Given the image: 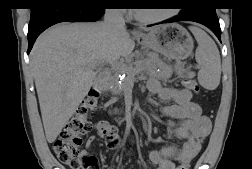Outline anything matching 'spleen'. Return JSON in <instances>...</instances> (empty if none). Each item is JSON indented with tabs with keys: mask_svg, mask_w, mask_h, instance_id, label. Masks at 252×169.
Here are the masks:
<instances>
[{
	"mask_svg": "<svg viewBox=\"0 0 252 169\" xmlns=\"http://www.w3.org/2000/svg\"><path fill=\"white\" fill-rule=\"evenodd\" d=\"M198 47L195 59L200 70L198 72L199 84L207 90H215L220 84L221 59L219 50L213 39L198 27H190Z\"/></svg>",
	"mask_w": 252,
	"mask_h": 169,
	"instance_id": "obj_1",
	"label": "spleen"
}]
</instances>
